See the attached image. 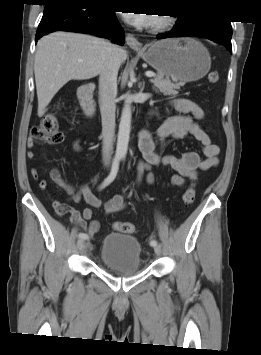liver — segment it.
I'll return each mask as SVG.
<instances>
[{
	"label": "liver",
	"mask_w": 261,
	"mask_h": 355,
	"mask_svg": "<svg viewBox=\"0 0 261 355\" xmlns=\"http://www.w3.org/2000/svg\"><path fill=\"white\" fill-rule=\"evenodd\" d=\"M108 41L90 35L54 32L40 39L34 61L38 116L54 95L70 80H85L100 74ZM120 65L126 51L118 47Z\"/></svg>",
	"instance_id": "1"
}]
</instances>
